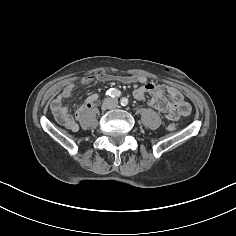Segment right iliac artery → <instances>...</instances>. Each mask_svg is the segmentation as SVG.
<instances>
[{"label": "right iliac artery", "mask_w": 236, "mask_h": 236, "mask_svg": "<svg viewBox=\"0 0 236 236\" xmlns=\"http://www.w3.org/2000/svg\"><path fill=\"white\" fill-rule=\"evenodd\" d=\"M106 95H108L112 98H118L121 96V92L118 89L111 88L106 92Z\"/></svg>", "instance_id": "1"}]
</instances>
